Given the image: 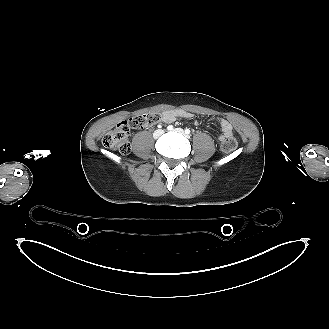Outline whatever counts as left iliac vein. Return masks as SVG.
Masks as SVG:
<instances>
[{"label":"left iliac vein","mask_w":329,"mask_h":329,"mask_svg":"<svg viewBox=\"0 0 329 329\" xmlns=\"http://www.w3.org/2000/svg\"><path fill=\"white\" fill-rule=\"evenodd\" d=\"M174 131L180 134H184V130L181 128H176Z\"/></svg>","instance_id":"4c4485c4"}]
</instances>
